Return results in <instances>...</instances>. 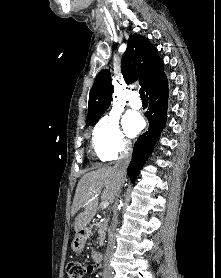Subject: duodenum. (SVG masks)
Segmentation results:
<instances>
[{"label":"duodenum","mask_w":221,"mask_h":278,"mask_svg":"<svg viewBox=\"0 0 221 278\" xmlns=\"http://www.w3.org/2000/svg\"><path fill=\"white\" fill-rule=\"evenodd\" d=\"M81 234L84 235L85 232L81 231ZM92 257H93V260L95 262L94 266L96 267V269L99 268L101 263H102V260H103L102 254L99 251L94 250L93 253H92Z\"/></svg>","instance_id":"1"}]
</instances>
